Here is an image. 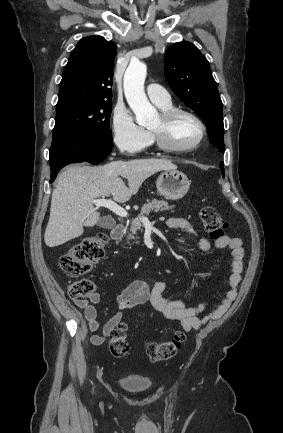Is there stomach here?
<instances>
[{"label":"stomach","instance_id":"stomach-1","mask_svg":"<svg viewBox=\"0 0 283 433\" xmlns=\"http://www.w3.org/2000/svg\"><path fill=\"white\" fill-rule=\"evenodd\" d=\"M157 190L168 200H179L189 190L190 180L179 170H164L156 180Z\"/></svg>","mask_w":283,"mask_h":433}]
</instances>
